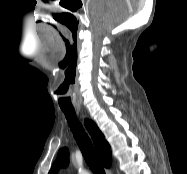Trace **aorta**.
<instances>
[{
	"instance_id": "obj_1",
	"label": "aorta",
	"mask_w": 187,
	"mask_h": 174,
	"mask_svg": "<svg viewBox=\"0 0 187 174\" xmlns=\"http://www.w3.org/2000/svg\"><path fill=\"white\" fill-rule=\"evenodd\" d=\"M79 174H89L87 171H80Z\"/></svg>"
}]
</instances>
